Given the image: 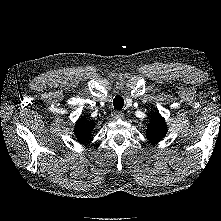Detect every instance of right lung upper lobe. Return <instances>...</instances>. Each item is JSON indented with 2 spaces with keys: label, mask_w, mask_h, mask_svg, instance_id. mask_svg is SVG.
I'll list each match as a JSON object with an SVG mask.
<instances>
[{
  "label": "right lung upper lobe",
  "mask_w": 221,
  "mask_h": 221,
  "mask_svg": "<svg viewBox=\"0 0 221 221\" xmlns=\"http://www.w3.org/2000/svg\"><path fill=\"white\" fill-rule=\"evenodd\" d=\"M94 128V122H84L79 119L75 126V135L79 142L86 143L89 141L91 136V131Z\"/></svg>",
  "instance_id": "cb5924a9"
}]
</instances>
